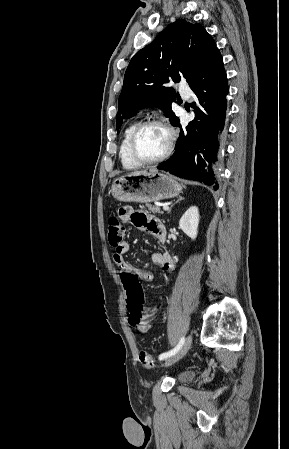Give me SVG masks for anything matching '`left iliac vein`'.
Masks as SVG:
<instances>
[{
    "label": "left iliac vein",
    "instance_id": "1",
    "mask_svg": "<svg viewBox=\"0 0 289 449\" xmlns=\"http://www.w3.org/2000/svg\"><path fill=\"white\" fill-rule=\"evenodd\" d=\"M191 344H192V336L189 335L186 338V340L183 343V345L181 346V348L174 355H172V356L168 357L167 359H165L164 366L168 367V366L173 365L177 361H179L187 353V351L190 349Z\"/></svg>",
    "mask_w": 289,
    "mask_h": 449
}]
</instances>
